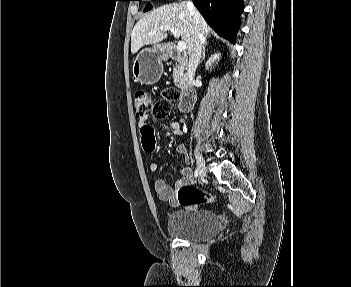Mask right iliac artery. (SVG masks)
<instances>
[{
  "label": "right iliac artery",
  "mask_w": 351,
  "mask_h": 287,
  "mask_svg": "<svg viewBox=\"0 0 351 287\" xmlns=\"http://www.w3.org/2000/svg\"><path fill=\"white\" fill-rule=\"evenodd\" d=\"M194 177L197 178L198 177V169L196 168L194 171Z\"/></svg>",
  "instance_id": "82829eb1"
}]
</instances>
